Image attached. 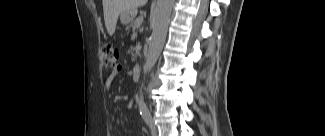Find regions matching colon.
Masks as SVG:
<instances>
[{
	"label": "colon",
	"mask_w": 325,
	"mask_h": 136,
	"mask_svg": "<svg viewBox=\"0 0 325 136\" xmlns=\"http://www.w3.org/2000/svg\"><path fill=\"white\" fill-rule=\"evenodd\" d=\"M104 62L107 67H115L118 59V50L111 44L102 46Z\"/></svg>",
	"instance_id": "1"
}]
</instances>
